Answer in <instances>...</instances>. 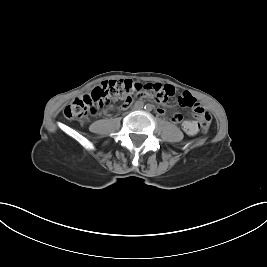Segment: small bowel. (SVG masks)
<instances>
[{"mask_svg": "<svg viewBox=\"0 0 267 267\" xmlns=\"http://www.w3.org/2000/svg\"><path fill=\"white\" fill-rule=\"evenodd\" d=\"M127 107H128L127 105H124V104L122 105V108H127ZM177 115H179V114H177ZM173 120L176 123H181L182 124V128L188 134H195L197 132V127H196L195 123L193 121H190V120L183 121L181 115H179V119L178 120H175L174 116H173Z\"/></svg>", "mask_w": 267, "mask_h": 267, "instance_id": "small-bowel-1", "label": "small bowel"}]
</instances>
